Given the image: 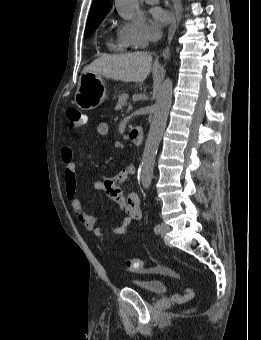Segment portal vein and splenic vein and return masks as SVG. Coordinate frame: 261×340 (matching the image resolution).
<instances>
[{"label":"portal vein and splenic vein","instance_id":"18ae733b","mask_svg":"<svg viewBox=\"0 0 261 340\" xmlns=\"http://www.w3.org/2000/svg\"><path fill=\"white\" fill-rule=\"evenodd\" d=\"M133 109V106L132 105H129L128 106V110H132Z\"/></svg>","mask_w":261,"mask_h":340}]
</instances>
